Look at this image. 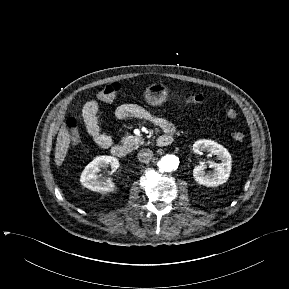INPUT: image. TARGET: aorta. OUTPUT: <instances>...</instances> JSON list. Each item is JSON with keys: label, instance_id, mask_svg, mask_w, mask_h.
Wrapping results in <instances>:
<instances>
[{"label": "aorta", "instance_id": "aorta-1", "mask_svg": "<svg viewBox=\"0 0 289 289\" xmlns=\"http://www.w3.org/2000/svg\"><path fill=\"white\" fill-rule=\"evenodd\" d=\"M157 165L161 173L172 172L177 169L179 159L175 155H165L158 161Z\"/></svg>", "mask_w": 289, "mask_h": 289}]
</instances>
